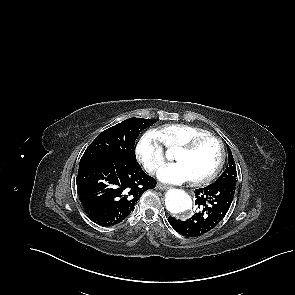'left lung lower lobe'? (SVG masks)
I'll list each match as a JSON object with an SVG mask.
<instances>
[{
    "label": "left lung lower lobe",
    "instance_id": "0a47b994",
    "mask_svg": "<svg viewBox=\"0 0 295 295\" xmlns=\"http://www.w3.org/2000/svg\"><path fill=\"white\" fill-rule=\"evenodd\" d=\"M236 183L225 181L210 184L195 190V204L200 211L186 221L169 217V223L185 236H200L207 233L227 214L235 192Z\"/></svg>",
    "mask_w": 295,
    "mask_h": 295
}]
</instances>
